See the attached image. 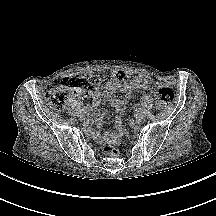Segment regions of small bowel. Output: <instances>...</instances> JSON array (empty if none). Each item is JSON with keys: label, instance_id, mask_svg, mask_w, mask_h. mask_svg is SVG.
I'll return each instance as SVG.
<instances>
[{"label": "small bowel", "instance_id": "1", "mask_svg": "<svg viewBox=\"0 0 216 216\" xmlns=\"http://www.w3.org/2000/svg\"><path fill=\"white\" fill-rule=\"evenodd\" d=\"M90 79L93 80L95 84L89 86V88L83 92L84 96L89 98L94 106L99 105L102 99H106L119 113L123 112L126 104L133 100L134 92L141 89L149 91H154L155 89V85L151 82L148 75L141 74L130 79L125 72L120 70H114L103 82H100L94 76H90ZM116 92H125L126 96L123 99H119L114 94ZM155 99L157 105L161 106V99L158 94H155ZM91 121L99 125L100 117L96 112H92ZM116 126V133H105L99 138L108 143L118 142L124 133V127L120 119L116 120Z\"/></svg>", "mask_w": 216, "mask_h": 216}]
</instances>
